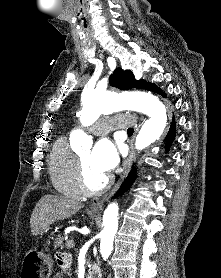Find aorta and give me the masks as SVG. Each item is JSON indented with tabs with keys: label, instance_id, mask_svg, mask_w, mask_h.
<instances>
[{
	"label": "aorta",
	"instance_id": "obj_1",
	"mask_svg": "<svg viewBox=\"0 0 221 278\" xmlns=\"http://www.w3.org/2000/svg\"><path fill=\"white\" fill-rule=\"evenodd\" d=\"M83 108L80 122L83 126L92 125L101 114L112 113L118 110L131 109L142 112L149 119L142 125L135 141L137 150H142L156 141L163 133L167 114L163 103L149 93H136L127 98H119L108 92L90 91L82 97ZM87 135L80 129L71 134V142L85 144ZM118 204L110 203L104 211L103 230L100 234V254L104 260L108 259L112 250L115 234L118 230Z\"/></svg>",
	"mask_w": 221,
	"mask_h": 278
}]
</instances>
